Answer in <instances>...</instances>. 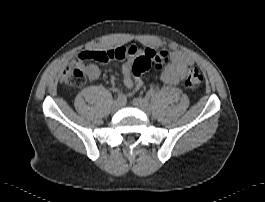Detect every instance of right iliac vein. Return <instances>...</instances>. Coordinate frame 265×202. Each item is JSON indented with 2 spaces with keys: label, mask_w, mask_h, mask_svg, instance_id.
I'll return each mask as SVG.
<instances>
[{
  "label": "right iliac vein",
  "mask_w": 265,
  "mask_h": 202,
  "mask_svg": "<svg viewBox=\"0 0 265 202\" xmlns=\"http://www.w3.org/2000/svg\"><path fill=\"white\" fill-rule=\"evenodd\" d=\"M120 107H121V102L118 100H114L112 103V111L116 112L119 110Z\"/></svg>",
  "instance_id": "right-iliac-vein-1"
}]
</instances>
